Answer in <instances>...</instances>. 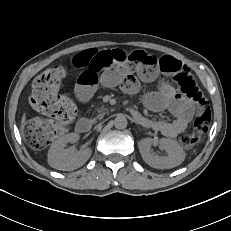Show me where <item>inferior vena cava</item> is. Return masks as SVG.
Listing matches in <instances>:
<instances>
[{
  "label": "inferior vena cava",
  "instance_id": "1",
  "mask_svg": "<svg viewBox=\"0 0 231 231\" xmlns=\"http://www.w3.org/2000/svg\"><path fill=\"white\" fill-rule=\"evenodd\" d=\"M103 122L102 121H99L98 123H96L95 125H94V129L95 130H98L100 127H102L103 126Z\"/></svg>",
  "mask_w": 231,
  "mask_h": 231
}]
</instances>
